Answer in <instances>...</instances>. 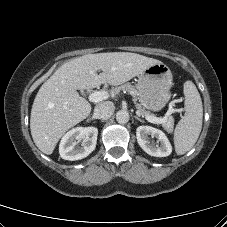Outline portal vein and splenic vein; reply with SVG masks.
I'll return each mask as SVG.
<instances>
[{
    "mask_svg": "<svg viewBox=\"0 0 227 227\" xmlns=\"http://www.w3.org/2000/svg\"><path fill=\"white\" fill-rule=\"evenodd\" d=\"M109 97L108 92L106 91H95L89 95V100L91 102H100ZM174 112H181L180 109H172L170 110V113ZM146 120L155 123V124H161L167 120V117H154V116H146Z\"/></svg>",
    "mask_w": 227,
    "mask_h": 227,
    "instance_id": "18ae733b",
    "label": "portal vein and splenic vein"
}]
</instances>
